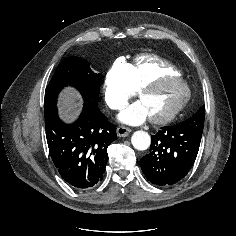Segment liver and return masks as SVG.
Masks as SVG:
<instances>
[{"instance_id": "obj_1", "label": "liver", "mask_w": 236, "mask_h": 236, "mask_svg": "<svg viewBox=\"0 0 236 236\" xmlns=\"http://www.w3.org/2000/svg\"><path fill=\"white\" fill-rule=\"evenodd\" d=\"M79 99V95L71 89L61 94L59 109L63 120L70 122L77 116L81 106Z\"/></svg>"}]
</instances>
